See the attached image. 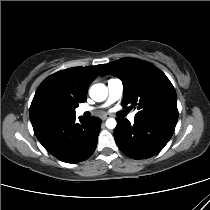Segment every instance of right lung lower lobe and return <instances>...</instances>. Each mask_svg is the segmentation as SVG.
<instances>
[{"mask_svg": "<svg viewBox=\"0 0 210 210\" xmlns=\"http://www.w3.org/2000/svg\"><path fill=\"white\" fill-rule=\"evenodd\" d=\"M101 119L79 117L75 114L60 123L35 133L44 148L66 163H78L88 159L97 146Z\"/></svg>", "mask_w": 210, "mask_h": 210, "instance_id": "98d812e1", "label": "right lung lower lobe"}]
</instances>
